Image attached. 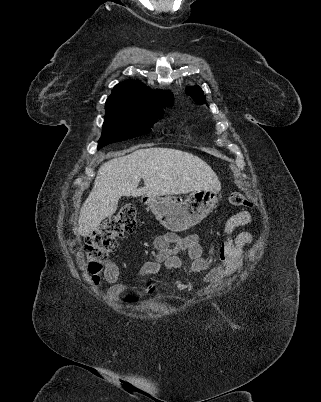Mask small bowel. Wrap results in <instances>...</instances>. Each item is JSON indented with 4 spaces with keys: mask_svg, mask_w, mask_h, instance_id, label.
Returning <instances> with one entry per match:
<instances>
[{
    "mask_svg": "<svg viewBox=\"0 0 321 402\" xmlns=\"http://www.w3.org/2000/svg\"><path fill=\"white\" fill-rule=\"evenodd\" d=\"M251 221L252 214L247 210L236 212L227 219L225 223L227 238L221 248V262L214 267H212L211 260L205 255L196 235L191 234L183 237L173 233L160 235L154 240L156 255L144 263L141 274L144 276L154 275L159 273L162 268L167 270L184 268L185 263L180 254L186 253L191 261L188 267L191 273L206 272L204 281L207 284L218 282L237 270L242 260L244 248L254 243V238L249 232L244 231L234 235L236 229L250 224ZM119 275L117 265L111 262L107 263L105 278L110 284L108 294L112 298L128 289L126 285L118 283ZM150 291L155 292L157 289L152 286ZM192 326H197L196 334H204L205 329L202 327V322H193ZM216 333H221V328H216Z\"/></svg>",
    "mask_w": 321,
    "mask_h": 402,
    "instance_id": "c3829d8e",
    "label": "small bowel"
}]
</instances>
